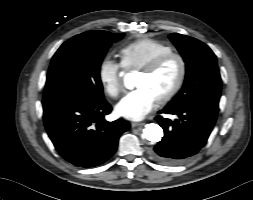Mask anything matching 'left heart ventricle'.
Here are the masks:
<instances>
[{
    "instance_id": "1",
    "label": "left heart ventricle",
    "mask_w": 253,
    "mask_h": 200,
    "mask_svg": "<svg viewBox=\"0 0 253 200\" xmlns=\"http://www.w3.org/2000/svg\"><path fill=\"white\" fill-rule=\"evenodd\" d=\"M178 75L179 63L171 60L155 74L140 73L136 78V86L148 89L158 100L173 87Z\"/></svg>"
}]
</instances>
